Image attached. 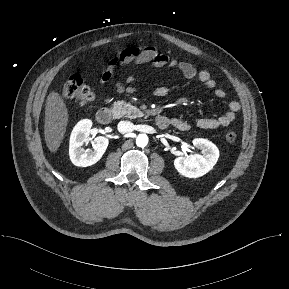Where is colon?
<instances>
[{"instance_id": "obj_1", "label": "colon", "mask_w": 289, "mask_h": 289, "mask_svg": "<svg viewBox=\"0 0 289 289\" xmlns=\"http://www.w3.org/2000/svg\"><path fill=\"white\" fill-rule=\"evenodd\" d=\"M61 94L66 99L76 100L82 106H90L94 100L93 92L85 84L79 73H74L66 79ZM225 138L227 142L234 143L237 135L234 131H229Z\"/></svg>"}]
</instances>
